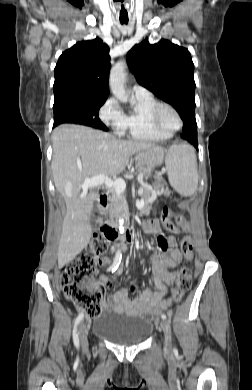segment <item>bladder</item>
<instances>
[{
  "label": "bladder",
  "instance_id": "bladder-1",
  "mask_svg": "<svg viewBox=\"0 0 252 390\" xmlns=\"http://www.w3.org/2000/svg\"><path fill=\"white\" fill-rule=\"evenodd\" d=\"M92 331L121 346H134L144 342L151 333L149 323L139 316L106 314L95 320Z\"/></svg>",
  "mask_w": 252,
  "mask_h": 390
}]
</instances>
